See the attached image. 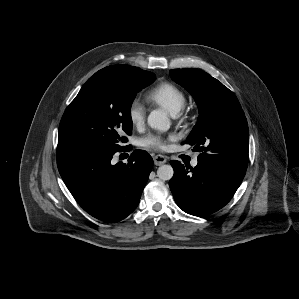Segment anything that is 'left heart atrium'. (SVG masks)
Returning <instances> with one entry per match:
<instances>
[{"label": "left heart atrium", "instance_id": "1", "mask_svg": "<svg viewBox=\"0 0 299 299\" xmlns=\"http://www.w3.org/2000/svg\"><path fill=\"white\" fill-rule=\"evenodd\" d=\"M173 136L165 137L159 133H151L142 137L139 141L140 145L145 148L161 150L166 147L167 141Z\"/></svg>", "mask_w": 299, "mask_h": 299}]
</instances>
